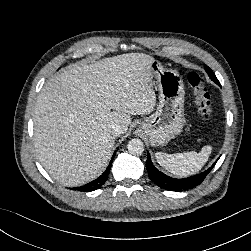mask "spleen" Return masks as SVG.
<instances>
[{"label":"spleen","instance_id":"1","mask_svg":"<svg viewBox=\"0 0 251 251\" xmlns=\"http://www.w3.org/2000/svg\"><path fill=\"white\" fill-rule=\"evenodd\" d=\"M212 147L210 145L204 146L200 153L184 152L177 154H166L163 152L155 153L157 162L165 170L178 176H187L197 173L211 154Z\"/></svg>","mask_w":251,"mask_h":251}]
</instances>
